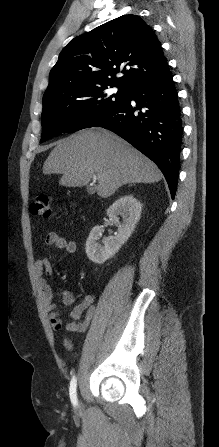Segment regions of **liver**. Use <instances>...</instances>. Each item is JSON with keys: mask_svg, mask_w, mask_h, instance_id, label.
<instances>
[{"mask_svg": "<svg viewBox=\"0 0 219 447\" xmlns=\"http://www.w3.org/2000/svg\"><path fill=\"white\" fill-rule=\"evenodd\" d=\"M43 173L62 174L59 185L82 187L96 174L97 194L107 198L130 183L162 179L159 168L129 143L102 128L79 131L57 142L43 165Z\"/></svg>", "mask_w": 219, "mask_h": 447, "instance_id": "6515ba94", "label": "liver"}]
</instances>
